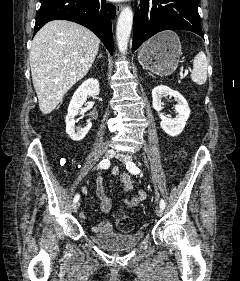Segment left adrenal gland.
<instances>
[{
    "instance_id": "left-adrenal-gland-1",
    "label": "left adrenal gland",
    "mask_w": 240,
    "mask_h": 281,
    "mask_svg": "<svg viewBox=\"0 0 240 281\" xmlns=\"http://www.w3.org/2000/svg\"><path fill=\"white\" fill-rule=\"evenodd\" d=\"M149 75L153 76L151 73H148ZM154 77V76H153Z\"/></svg>"
}]
</instances>
